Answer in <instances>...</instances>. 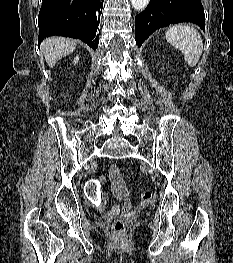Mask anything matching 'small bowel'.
Instances as JSON below:
<instances>
[{
    "instance_id": "c3829d8e",
    "label": "small bowel",
    "mask_w": 233,
    "mask_h": 263,
    "mask_svg": "<svg viewBox=\"0 0 233 263\" xmlns=\"http://www.w3.org/2000/svg\"><path fill=\"white\" fill-rule=\"evenodd\" d=\"M110 180H111V192L113 196L119 200H124L123 205L112 208L108 211L109 215H115L118 212H126L131 208V203L128 200L129 189L124 181L122 173L117 165H112L110 168ZM100 183L104 182V178L100 177L98 179ZM108 201V196L103 193L100 202H97L96 206L100 210H104L106 203Z\"/></svg>"
}]
</instances>
